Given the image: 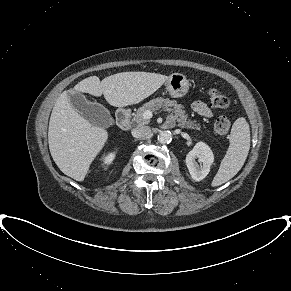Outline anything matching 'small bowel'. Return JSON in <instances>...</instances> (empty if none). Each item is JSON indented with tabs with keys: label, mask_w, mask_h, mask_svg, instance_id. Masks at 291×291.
Segmentation results:
<instances>
[{
	"label": "small bowel",
	"mask_w": 291,
	"mask_h": 291,
	"mask_svg": "<svg viewBox=\"0 0 291 291\" xmlns=\"http://www.w3.org/2000/svg\"><path fill=\"white\" fill-rule=\"evenodd\" d=\"M192 109L194 112L200 116L211 118L213 117V112L211 108L203 101L197 100L192 103Z\"/></svg>",
	"instance_id": "small-bowel-1"
}]
</instances>
